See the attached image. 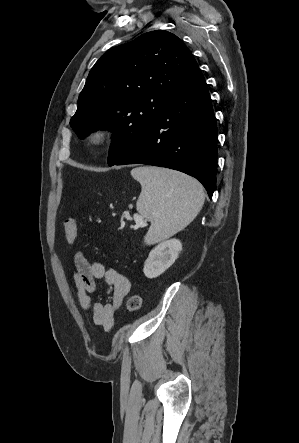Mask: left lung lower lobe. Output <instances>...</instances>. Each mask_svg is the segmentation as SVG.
<instances>
[{"label":"left lung lower lobe","instance_id":"1","mask_svg":"<svg viewBox=\"0 0 299 443\" xmlns=\"http://www.w3.org/2000/svg\"><path fill=\"white\" fill-rule=\"evenodd\" d=\"M217 135L210 95L198 68L175 91L155 123L113 165L148 164L184 172L199 180L211 199Z\"/></svg>","mask_w":299,"mask_h":443}]
</instances>
